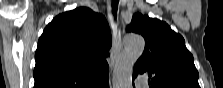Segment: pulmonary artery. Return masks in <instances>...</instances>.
<instances>
[{
    "label": "pulmonary artery",
    "instance_id": "1",
    "mask_svg": "<svg viewBox=\"0 0 223 88\" xmlns=\"http://www.w3.org/2000/svg\"><path fill=\"white\" fill-rule=\"evenodd\" d=\"M136 85L138 87H142V88H145L146 87V83H145V81H144V79L142 77H138L136 79Z\"/></svg>",
    "mask_w": 223,
    "mask_h": 88
}]
</instances>
